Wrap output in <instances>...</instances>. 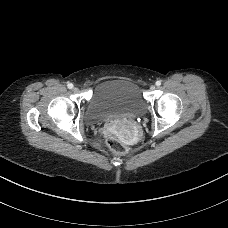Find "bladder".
<instances>
[{
	"instance_id": "31cf9c89",
	"label": "bladder",
	"mask_w": 228,
	"mask_h": 228,
	"mask_svg": "<svg viewBox=\"0 0 228 228\" xmlns=\"http://www.w3.org/2000/svg\"><path fill=\"white\" fill-rule=\"evenodd\" d=\"M146 109L140 87L128 79L101 82L94 90L86 111L88 123H99L113 118L139 116Z\"/></svg>"
}]
</instances>
